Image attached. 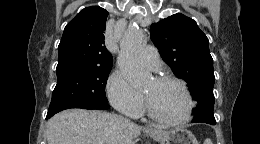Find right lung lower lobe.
Returning a JSON list of instances; mask_svg holds the SVG:
<instances>
[{"label": "right lung lower lobe", "mask_w": 260, "mask_h": 144, "mask_svg": "<svg viewBox=\"0 0 260 144\" xmlns=\"http://www.w3.org/2000/svg\"><path fill=\"white\" fill-rule=\"evenodd\" d=\"M110 106L108 104H98V105H95V106H91V107H88L87 109H100V110H106V109H109ZM53 115H47V119L52 117Z\"/></svg>", "instance_id": "98d812e1"}]
</instances>
